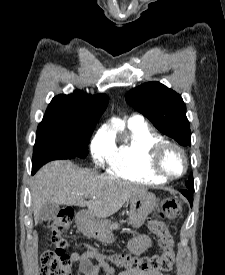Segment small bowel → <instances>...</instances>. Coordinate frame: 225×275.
<instances>
[{
	"mask_svg": "<svg viewBox=\"0 0 225 275\" xmlns=\"http://www.w3.org/2000/svg\"><path fill=\"white\" fill-rule=\"evenodd\" d=\"M152 239L146 234H140L134 237L128 244L129 250L133 254H141L151 248ZM75 250L71 252L70 259L77 263L79 275H164L162 272H140L126 270L116 272V270L107 262V257L104 253L85 245L84 251L79 253Z\"/></svg>",
	"mask_w": 225,
	"mask_h": 275,
	"instance_id": "obj_1",
	"label": "small bowel"
}]
</instances>
